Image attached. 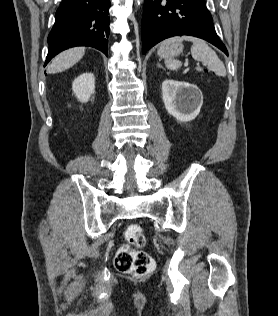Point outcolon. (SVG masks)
<instances>
[{
  "instance_id": "colon-1",
  "label": "colon",
  "mask_w": 278,
  "mask_h": 316,
  "mask_svg": "<svg viewBox=\"0 0 278 316\" xmlns=\"http://www.w3.org/2000/svg\"><path fill=\"white\" fill-rule=\"evenodd\" d=\"M126 243L120 247L115 257V267L119 272L138 277L146 276L155 268L150 254L141 250L145 243V232L138 224H130L125 230Z\"/></svg>"
}]
</instances>
